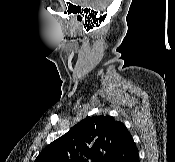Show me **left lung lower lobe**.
Wrapping results in <instances>:
<instances>
[{"mask_svg":"<svg viewBox=\"0 0 175 162\" xmlns=\"http://www.w3.org/2000/svg\"><path fill=\"white\" fill-rule=\"evenodd\" d=\"M109 162H139L138 150L129 132L124 135Z\"/></svg>","mask_w":175,"mask_h":162,"instance_id":"obj_1","label":"left lung lower lobe"}]
</instances>
